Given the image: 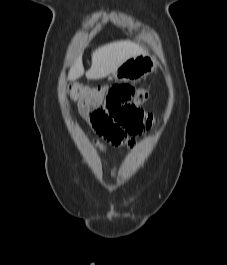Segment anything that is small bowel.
I'll return each mask as SVG.
<instances>
[{"mask_svg": "<svg viewBox=\"0 0 227 265\" xmlns=\"http://www.w3.org/2000/svg\"><path fill=\"white\" fill-rule=\"evenodd\" d=\"M79 111L95 132L94 142L102 152H108V145L135 146V135L127 133L111 120V116H107L103 102H79Z\"/></svg>", "mask_w": 227, "mask_h": 265, "instance_id": "small-bowel-1", "label": "small bowel"}]
</instances>
